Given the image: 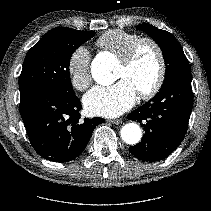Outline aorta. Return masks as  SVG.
<instances>
[{"instance_id": "762f6f07", "label": "aorta", "mask_w": 211, "mask_h": 211, "mask_svg": "<svg viewBox=\"0 0 211 211\" xmlns=\"http://www.w3.org/2000/svg\"><path fill=\"white\" fill-rule=\"evenodd\" d=\"M91 71L94 80L99 84L110 85L115 80L111 67L108 64L100 63L97 59L93 62ZM120 133L122 140L129 145L137 144L142 137L141 128L136 123L124 125Z\"/></svg>"}]
</instances>
